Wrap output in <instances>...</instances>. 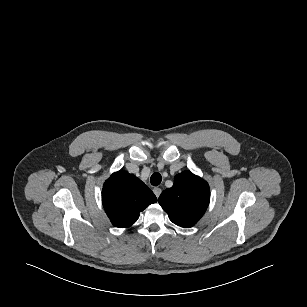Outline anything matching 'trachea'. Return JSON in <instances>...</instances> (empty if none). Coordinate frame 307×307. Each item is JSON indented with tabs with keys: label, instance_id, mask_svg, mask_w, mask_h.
I'll list each match as a JSON object with an SVG mask.
<instances>
[{
	"label": "trachea",
	"instance_id": "obj_1",
	"mask_svg": "<svg viewBox=\"0 0 307 307\" xmlns=\"http://www.w3.org/2000/svg\"><path fill=\"white\" fill-rule=\"evenodd\" d=\"M162 181V176L159 173H153L150 178V182L153 186H158Z\"/></svg>",
	"mask_w": 307,
	"mask_h": 307
}]
</instances>
